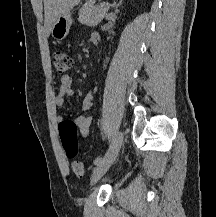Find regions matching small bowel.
<instances>
[{"label": "small bowel", "mask_w": 216, "mask_h": 217, "mask_svg": "<svg viewBox=\"0 0 216 217\" xmlns=\"http://www.w3.org/2000/svg\"><path fill=\"white\" fill-rule=\"evenodd\" d=\"M73 94H74V91L72 88V79L69 75H65L61 78V85H60L58 93L56 94L54 98V104L57 107L63 106L65 98L72 96ZM93 98H94L93 92H89L85 96L82 102L83 113L80 116H78L75 120L77 130L81 137L88 136L90 132L91 117L88 114V111L91 108ZM56 122L59 125V127H61L62 123L64 122V118L60 115H57Z\"/></svg>", "instance_id": "small-bowel-1"}]
</instances>
